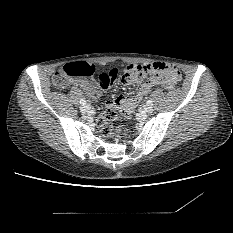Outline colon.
<instances>
[{
	"instance_id": "5ec220e1",
	"label": "colon",
	"mask_w": 233,
	"mask_h": 233,
	"mask_svg": "<svg viewBox=\"0 0 233 233\" xmlns=\"http://www.w3.org/2000/svg\"><path fill=\"white\" fill-rule=\"evenodd\" d=\"M158 71L174 72L175 68L166 63L155 64H129L123 73L124 79H152ZM96 73V67L94 64L88 61H78L65 66H62L56 70L53 75V86L56 89L66 88L74 78H89ZM132 111L131 107H127L121 114H117L112 109L104 111L97 119V125L99 132L104 137L111 136L114 131L116 133H123V128L119 127L114 130L112 121L128 116Z\"/></svg>"
}]
</instances>
